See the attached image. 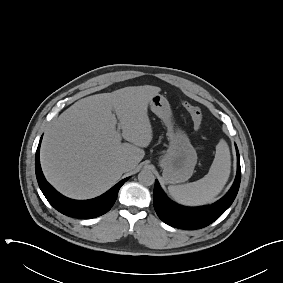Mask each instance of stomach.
<instances>
[{"label":"stomach","instance_id":"0dacf381","mask_svg":"<svg viewBox=\"0 0 283 283\" xmlns=\"http://www.w3.org/2000/svg\"><path fill=\"white\" fill-rule=\"evenodd\" d=\"M150 108L167 127L169 147L159 161L163 179L167 184L185 182L192 176L197 163L196 150L185 131L175 127L170 104L163 95H154Z\"/></svg>","mask_w":283,"mask_h":283}]
</instances>
